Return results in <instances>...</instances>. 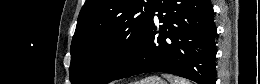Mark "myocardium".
Segmentation results:
<instances>
[{"instance_id": "1", "label": "myocardium", "mask_w": 260, "mask_h": 84, "mask_svg": "<svg viewBox=\"0 0 260 84\" xmlns=\"http://www.w3.org/2000/svg\"><path fill=\"white\" fill-rule=\"evenodd\" d=\"M114 62V58L109 52L99 53L93 60V67L97 71H105L111 67Z\"/></svg>"}]
</instances>
